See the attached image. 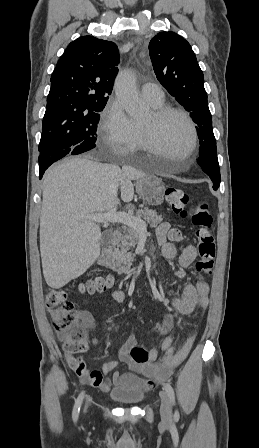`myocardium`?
<instances>
[{
	"instance_id": "obj_1",
	"label": "myocardium",
	"mask_w": 259,
	"mask_h": 448,
	"mask_svg": "<svg viewBox=\"0 0 259 448\" xmlns=\"http://www.w3.org/2000/svg\"><path fill=\"white\" fill-rule=\"evenodd\" d=\"M176 115L181 117L187 124L191 141L187 149V158L192 163L196 160V147L198 143V132L191 117L183 110L177 107L163 105L159 108H153L150 112V121L147 124H141L140 130L147 154H154L156 151L163 149L158 141L157 129L159 124L167 117ZM157 171V169L151 170Z\"/></svg>"
}]
</instances>
